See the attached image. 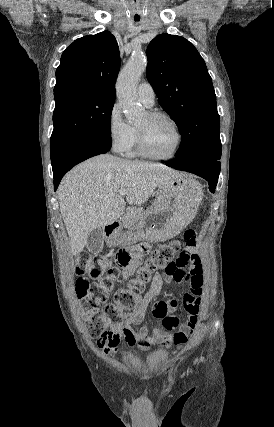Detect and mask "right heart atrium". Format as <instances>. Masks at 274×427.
I'll return each mask as SVG.
<instances>
[{"mask_svg": "<svg viewBox=\"0 0 274 427\" xmlns=\"http://www.w3.org/2000/svg\"><path fill=\"white\" fill-rule=\"evenodd\" d=\"M106 127L112 150L118 153L125 152L133 140L134 129L124 121L118 104L111 107Z\"/></svg>", "mask_w": 274, "mask_h": 427, "instance_id": "right-heart-atrium-1", "label": "right heart atrium"}]
</instances>
